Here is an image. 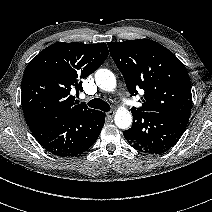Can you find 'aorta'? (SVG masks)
Listing matches in <instances>:
<instances>
[{"label": "aorta", "instance_id": "1", "mask_svg": "<svg viewBox=\"0 0 212 212\" xmlns=\"http://www.w3.org/2000/svg\"><path fill=\"white\" fill-rule=\"evenodd\" d=\"M95 82L104 91L112 92L116 88V77L108 69H98L95 73ZM114 121L118 128L125 130L132 124V115L126 108L121 107L116 111Z\"/></svg>", "mask_w": 212, "mask_h": 212}]
</instances>
